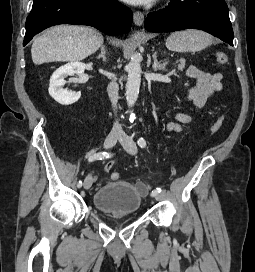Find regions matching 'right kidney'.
<instances>
[{"instance_id": "1", "label": "right kidney", "mask_w": 255, "mask_h": 272, "mask_svg": "<svg viewBox=\"0 0 255 272\" xmlns=\"http://www.w3.org/2000/svg\"><path fill=\"white\" fill-rule=\"evenodd\" d=\"M85 70V64L81 62H71L59 67L51 76L49 83L50 96L61 105H71L79 100L81 92H72L63 89L66 81L64 77L74 74H82Z\"/></svg>"}]
</instances>
